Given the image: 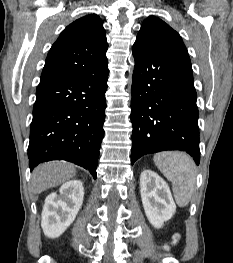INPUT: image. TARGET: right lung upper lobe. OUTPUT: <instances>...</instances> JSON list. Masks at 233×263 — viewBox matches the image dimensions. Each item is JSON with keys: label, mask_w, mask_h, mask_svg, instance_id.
Returning a JSON list of instances; mask_svg holds the SVG:
<instances>
[{"label": "right lung upper lobe", "mask_w": 233, "mask_h": 263, "mask_svg": "<svg viewBox=\"0 0 233 263\" xmlns=\"http://www.w3.org/2000/svg\"><path fill=\"white\" fill-rule=\"evenodd\" d=\"M107 48L106 32L97 15H86L74 21L52 45L40 83L93 74L107 60Z\"/></svg>", "instance_id": "1"}]
</instances>
